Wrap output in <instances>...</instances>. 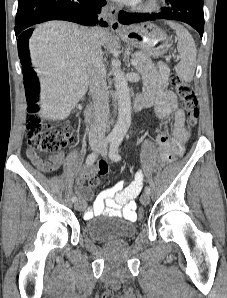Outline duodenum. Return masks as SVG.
Returning a JSON list of instances; mask_svg holds the SVG:
<instances>
[{
  "mask_svg": "<svg viewBox=\"0 0 227 298\" xmlns=\"http://www.w3.org/2000/svg\"><path fill=\"white\" fill-rule=\"evenodd\" d=\"M146 104L145 101L140 97V96H136L133 100V107L135 110H141L143 108H145ZM92 107L89 106L87 109V118L90 120L92 118Z\"/></svg>",
  "mask_w": 227,
  "mask_h": 298,
  "instance_id": "obj_1",
  "label": "duodenum"
}]
</instances>
